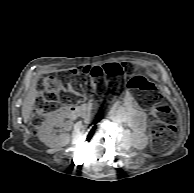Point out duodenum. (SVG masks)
<instances>
[{
	"label": "duodenum",
	"mask_w": 194,
	"mask_h": 193,
	"mask_svg": "<svg viewBox=\"0 0 194 193\" xmlns=\"http://www.w3.org/2000/svg\"><path fill=\"white\" fill-rule=\"evenodd\" d=\"M80 110L78 107L71 105V106H67L63 109V115L66 118H75L79 115Z\"/></svg>",
	"instance_id": "obj_1"
}]
</instances>
